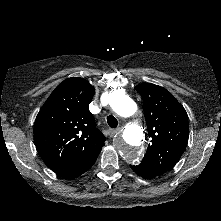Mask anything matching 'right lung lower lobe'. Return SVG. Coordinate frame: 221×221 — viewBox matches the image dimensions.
Here are the masks:
<instances>
[{
  "mask_svg": "<svg viewBox=\"0 0 221 221\" xmlns=\"http://www.w3.org/2000/svg\"><path fill=\"white\" fill-rule=\"evenodd\" d=\"M98 154L94 155L92 158L87 160L85 163H83L79 166H76L74 168L62 171L58 174L64 178H67V179L76 178V177L80 176L81 174H83L84 172H86L87 170H89L93 166V164L97 160Z\"/></svg>",
  "mask_w": 221,
  "mask_h": 221,
  "instance_id": "98d812e1",
  "label": "right lung lower lobe"
}]
</instances>
